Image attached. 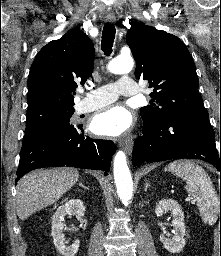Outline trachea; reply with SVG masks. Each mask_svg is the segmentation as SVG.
Listing matches in <instances>:
<instances>
[{
	"instance_id": "3493384b",
	"label": "trachea",
	"mask_w": 221,
	"mask_h": 256,
	"mask_svg": "<svg viewBox=\"0 0 221 256\" xmlns=\"http://www.w3.org/2000/svg\"><path fill=\"white\" fill-rule=\"evenodd\" d=\"M116 29L112 24H105L102 32L101 48L102 51L109 55L112 53V47L115 39Z\"/></svg>"
}]
</instances>
